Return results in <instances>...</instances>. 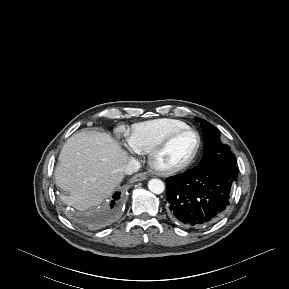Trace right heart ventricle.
Listing matches in <instances>:
<instances>
[{"label":"right heart ventricle","instance_id":"e07e8e85","mask_svg":"<svg viewBox=\"0 0 289 289\" xmlns=\"http://www.w3.org/2000/svg\"><path fill=\"white\" fill-rule=\"evenodd\" d=\"M185 127H189L185 122L170 118L139 123L134 126L129 135V143L137 152H150L166 135Z\"/></svg>","mask_w":289,"mask_h":289}]
</instances>
